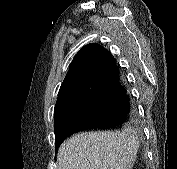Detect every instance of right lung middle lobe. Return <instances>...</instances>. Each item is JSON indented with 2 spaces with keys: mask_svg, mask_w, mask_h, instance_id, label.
<instances>
[{
  "mask_svg": "<svg viewBox=\"0 0 177 169\" xmlns=\"http://www.w3.org/2000/svg\"><path fill=\"white\" fill-rule=\"evenodd\" d=\"M89 88L87 84L81 86L75 93L58 101L54 110V126L69 118L77 115L87 104L89 100Z\"/></svg>",
  "mask_w": 177,
  "mask_h": 169,
  "instance_id": "right-lung-middle-lobe-1",
  "label": "right lung middle lobe"
}]
</instances>
